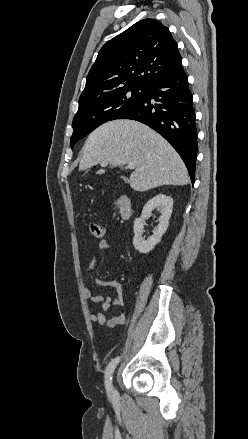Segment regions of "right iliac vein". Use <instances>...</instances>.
<instances>
[{
  "instance_id": "obj_1",
  "label": "right iliac vein",
  "mask_w": 248,
  "mask_h": 439,
  "mask_svg": "<svg viewBox=\"0 0 248 439\" xmlns=\"http://www.w3.org/2000/svg\"><path fill=\"white\" fill-rule=\"evenodd\" d=\"M111 394L113 397H116V391L114 389H112Z\"/></svg>"
}]
</instances>
